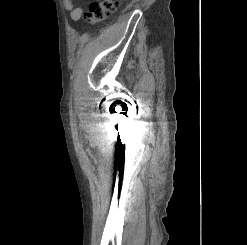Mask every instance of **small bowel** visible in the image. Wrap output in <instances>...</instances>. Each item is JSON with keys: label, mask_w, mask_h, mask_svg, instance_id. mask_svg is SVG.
I'll return each mask as SVG.
<instances>
[{"label": "small bowel", "mask_w": 247, "mask_h": 245, "mask_svg": "<svg viewBox=\"0 0 247 245\" xmlns=\"http://www.w3.org/2000/svg\"><path fill=\"white\" fill-rule=\"evenodd\" d=\"M64 5L69 10L70 16L73 20L78 21L82 18L84 14L82 7L75 6L72 0H64Z\"/></svg>", "instance_id": "small-bowel-1"}]
</instances>
